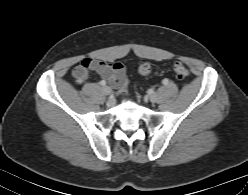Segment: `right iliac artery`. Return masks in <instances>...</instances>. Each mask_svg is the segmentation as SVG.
I'll list each match as a JSON object with an SVG mask.
<instances>
[{"instance_id": "82829eb1", "label": "right iliac artery", "mask_w": 248, "mask_h": 195, "mask_svg": "<svg viewBox=\"0 0 248 195\" xmlns=\"http://www.w3.org/2000/svg\"><path fill=\"white\" fill-rule=\"evenodd\" d=\"M100 85H101V86H105V85H106V82H105L104 80H102V81L100 82Z\"/></svg>"}]
</instances>
